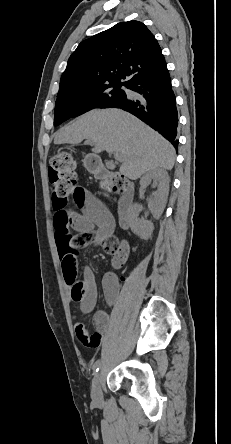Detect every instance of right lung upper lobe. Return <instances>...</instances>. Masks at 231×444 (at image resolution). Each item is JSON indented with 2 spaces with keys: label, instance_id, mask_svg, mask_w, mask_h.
Listing matches in <instances>:
<instances>
[{
  "label": "right lung upper lobe",
  "instance_id": "1",
  "mask_svg": "<svg viewBox=\"0 0 231 444\" xmlns=\"http://www.w3.org/2000/svg\"><path fill=\"white\" fill-rule=\"evenodd\" d=\"M154 35L141 22H121L81 42L68 60L58 94L106 84L130 85L166 68Z\"/></svg>",
  "mask_w": 231,
  "mask_h": 444
}]
</instances>
